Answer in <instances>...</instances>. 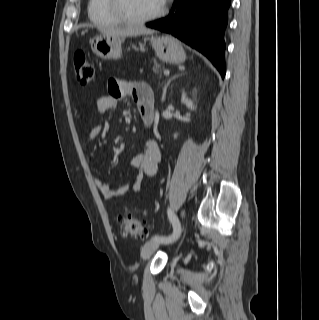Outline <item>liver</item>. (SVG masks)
Segmentation results:
<instances>
[{
    "instance_id": "1",
    "label": "liver",
    "mask_w": 319,
    "mask_h": 320,
    "mask_svg": "<svg viewBox=\"0 0 319 320\" xmlns=\"http://www.w3.org/2000/svg\"><path fill=\"white\" fill-rule=\"evenodd\" d=\"M101 32L105 35L111 36H136L143 34H153L154 31L146 29L145 27H111V28H102Z\"/></svg>"
}]
</instances>
